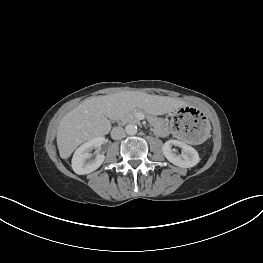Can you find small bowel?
I'll use <instances>...</instances> for the list:
<instances>
[{
  "mask_svg": "<svg viewBox=\"0 0 263 263\" xmlns=\"http://www.w3.org/2000/svg\"><path fill=\"white\" fill-rule=\"evenodd\" d=\"M156 130L160 135H167L169 133V131L166 127H163L159 124L156 125Z\"/></svg>",
  "mask_w": 263,
  "mask_h": 263,
  "instance_id": "1",
  "label": "small bowel"
}]
</instances>
